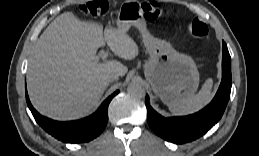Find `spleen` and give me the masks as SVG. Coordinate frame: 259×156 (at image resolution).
Returning <instances> with one entry per match:
<instances>
[{
	"instance_id": "1",
	"label": "spleen",
	"mask_w": 259,
	"mask_h": 156,
	"mask_svg": "<svg viewBox=\"0 0 259 156\" xmlns=\"http://www.w3.org/2000/svg\"><path fill=\"white\" fill-rule=\"evenodd\" d=\"M213 80L211 78L207 79L203 84L201 90L194 96L177 102L172 105H168L169 110L173 114L177 115H186L194 113L201 108H203L206 104H208L212 99V89Z\"/></svg>"
}]
</instances>
